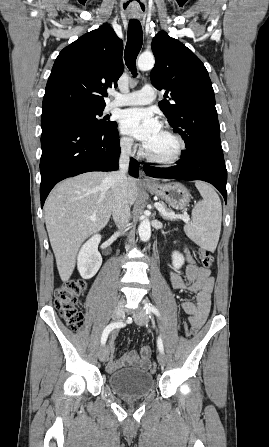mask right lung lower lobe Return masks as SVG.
<instances>
[{
  "label": "right lung lower lobe",
  "mask_w": 269,
  "mask_h": 447,
  "mask_svg": "<svg viewBox=\"0 0 269 447\" xmlns=\"http://www.w3.org/2000/svg\"><path fill=\"white\" fill-rule=\"evenodd\" d=\"M40 160L41 207L59 181L89 171L118 169L119 135L114 130H98L67 111L43 112L41 117ZM139 163L131 158L129 173L138 177Z\"/></svg>",
  "instance_id": "1"
}]
</instances>
